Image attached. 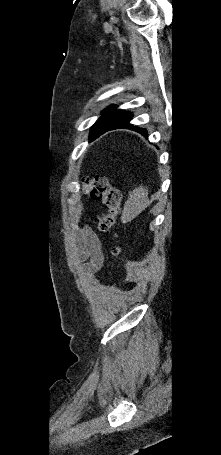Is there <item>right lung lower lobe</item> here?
<instances>
[{
  "label": "right lung lower lobe",
  "mask_w": 221,
  "mask_h": 455,
  "mask_svg": "<svg viewBox=\"0 0 221 455\" xmlns=\"http://www.w3.org/2000/svg\"><path fill=\"white\" fill-rule=\"evenodd\" d=\"M131 118H132V115L129 113H126L116 124H114L108 130H113L116 128H129V129L138 131V132L146 135L147 131L145 129H139L138 127H134L133 125L129 124V121L131 120Z\"/></svg>",
  "instance_id": "1"
}]
</instances>
